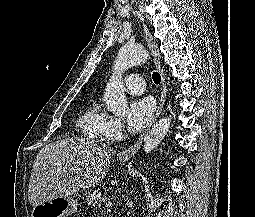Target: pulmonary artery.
Instances as JSON below:
<instances>
[{"mask_svg": "<svg viewBox=\"0 0 255 217\" xmlns=\"http://www.w3.org/2000/svg\"><path fill=\"white\" fill-rule=\"evenodd\" d=\"M126 90L131 94H142L145 91L144 78L139 74L131 73L124 79Z\"/></svg>", "mask_w": 255, "mask_h": 217, "instance_id": "obj_1", "label": "pulmonary artery"}]
</instances>
